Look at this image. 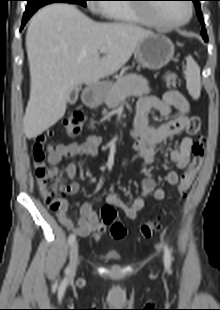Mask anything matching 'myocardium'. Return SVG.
<instances>
[{
    "instance_id": "obj_1",
    "label": "myocardium",
    "mask_w": 220,
    "mask_h": 310,
    "mask_svg": "<svg viewBox=\"0 0 220 310\" xmlns=\"http://www.w3.org/2000/svg\"><path fill=\"white\" fill-rule=\"evenodd\" d=\"M186 6H187L188 14H187V16L183 20L178 21V22H167V21H164V20L160 19L156 15L150 16L149 12L146 9H144V8H138V10H139V12H141L143 14H146V16L152 18V20L154 21V23H155V25L157 27H161V28H179V27H182L183 25H185L186 23H188L190 21V19L192 18V15H193V7H192V5L190 3H187Z\"/></svg>"
}]
</instances>
